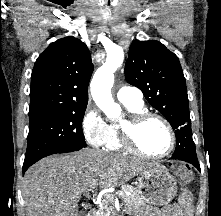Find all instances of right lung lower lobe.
<instances>
[{"instance_id":"right-lung-lower-lobe-1","label":"right lung lower lobe","mask_w":221,"mask_h":216,"mask_svg":"<svg viewBox=\"0 0 221 216\" xmlns=\"http://www.w3.org/2000/svg\"><path fill=\"white\" fill-rule=\"evenodd\" d=\"M80 149H70V150H65V151H61L58 153H67V152H73V151H77ZM34 164V163H33ZM32 164H23V174L25 173V171L31 166Z\"/></svg>"}]
</instances>
